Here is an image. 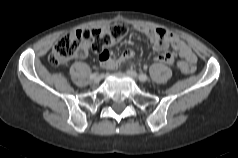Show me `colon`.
Segmentation results:
<instances>
[{
    "label": "colon",
    "mask_w": 238,
    "mask_h": 158,
    "mask_svg": "<svg viewBox=\"0 0 238 158\" xmlns=\"http://www.w3.org/2000/svg\"><path fill=\"white\" fill-rule=\"evenodd\" d=\"M126 31L123 25H113L70 32L56 42L48 60L51 65L60 66L76 56L84 55L88 48L100 55L108 46L121 39ZM178 67L184 75H190L194 71V66L184 60L178 61Z\"/></svg>",
    "instance_id": "obj_1"
}]
</instances>
